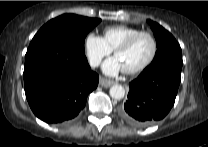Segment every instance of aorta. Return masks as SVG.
<instances>
[{
  "instance_id": "1",
  "label": "aorta",
  "mask_w": 208,
  "mask_h": 147,
  "mask_svg": "<svg viewBox=\"0 0 208 147\" xmlns=\"http://www.w3.org/2000/svg\"><path fill=\"white\" fill-rule=\"evenodd\" d=\"M110 96L113 99H122L125 95V90L121 85H113L109 90Z\"/></svg>"
}]
</instances>
